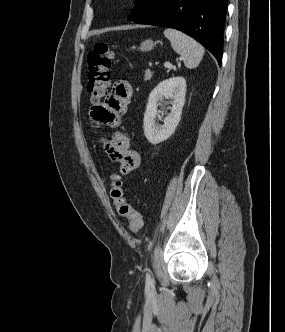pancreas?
Segmentation results:
<instances>
[{
    "label": "pancreas",
    "mask_w": 285,
    "mask_h": 332,
    "mask_svg": "<svg viewBox=\"0 0 285 332\" xmlns=\"http://www.w3.org/2000/svg\"><path fill=\"white\" fill-rule=\"evenodd\" d=\"M151 77H152V73H151V71L147 70V71L145 72L144 79H145V80H150Z\"/></svg>",
    "instance_id": "pancreas-1"
}]
</instances>
